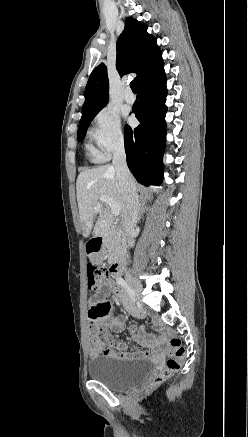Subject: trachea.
I'll return each mask as SVG.
<instances>
[{
  "label": "trachea",
  "mask_w": 248,
  "mask_h": 437,
  "mask_svg": "<svg viewBox=\"0 0 248 437\" xmlns=\"http://www.w3.org/2000/svg\"><path fill=\"white\" fill-rule=\"evenodd\" d=\"M130 87H131V89H132V91H133L134 93L137 92V86H136V82H135V80H132V81L130 82Z\"/></svg>",
  "instance_id": "3493384b"
}]
</instances>
